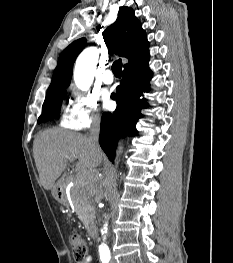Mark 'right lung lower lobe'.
I'll list each match as a JSON object with an SVG mask.
<instances>
[{"label": "right lung lower lobe", "instance_id": "98d812e1", "mask_svg": "<svg viewBox=\"0 0 233 263\" xmlns=\"http://www.w3.org/2000/svg\"><path fill=\"white\" fill-rule=\"evenodd\" d=\"M148 62L149 59L124 68L121 85L113 97L117 108L113 113L105 112L102 115L99 143L111 161L121 134H134L135 124L142 117L141 109L148 106L145 99H140L142 93L149 90V80L153 74Z\"/></svg>", "mask_w": 233, "mask_h": 263}]
</instances>
